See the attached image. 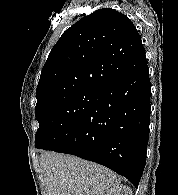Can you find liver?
Listing matches in <instances>:
<instances>
[{
    "instance_id": "1",
    "label": "liver",
    "mask_w": 178,
    "mask_h": 195,
    "mask_svg": "<svg viewBox=\"0 0 178 195\" xmlns=\"http://www.w3.org/2000/svg\"><path fill=\"white\" fill-rule=\"evenodd\" d=\"M40 165L44 195H104L121 182L108 168L76 156L45 152Z\"/></svg>"
}]
</instances>
